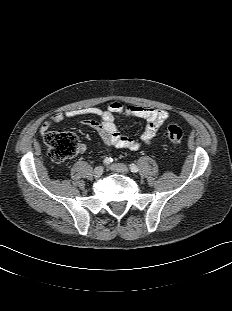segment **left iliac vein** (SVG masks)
Returning <instances> with one entry per match:
<instances>
[{"label": "left iliac vein", "instance_id": "obj_1", "mask_svg": "<svg viewBox=\"0 0 232 311\" xmlns=\"http://www.w3.org/2000/svg\"><path fill=\"white\" fill-rule=\"evenodd\" d=\"M110 168L115 171V172H119V173H128L129 172V168L122 163H115L113 165L110 166Z\"/></svg>", "mask_w": 232, "mask_h": 311}]
</instances>
